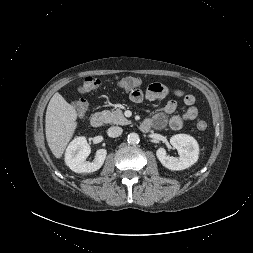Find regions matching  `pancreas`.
Segmentation results:
<instances>
[{
  "label": "pancreas",
  "mask_w": 253,
  "mask_h": 253,
  "mask_svg": "<svg viewBox=\"0 0 253 253\" xmlns=\"http://www.w3.org/2000/svg\"><path fill=\"white\" fill-rule=\"evenodd\" d=\"M102 115L106 123H112L116 125H127L130 123V121L125 118L122 110L120 109H117L112 112L109 110H105L102 112Z\"/></svg>",
  "instance_id": "cf45deb5"
}]
</instances>
